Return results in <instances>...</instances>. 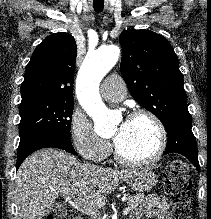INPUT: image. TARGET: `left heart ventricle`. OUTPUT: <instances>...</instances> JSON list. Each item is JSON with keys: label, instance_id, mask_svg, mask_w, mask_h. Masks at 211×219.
<instances>
[{"label": "left heart ventricle", "instance_id": "b2bd125f", "mask_svg": "<svg viewBox=\"0 0 211 219\" xmlns=\"http://www.w3.org/2000/svg\"><path fill=\"white\" fill-rule=\"evenodd\" d=\"M117 124L112 136L114 139L119 136L116 143L119 151L129 159H144L154 153L158 144V131L151 120L145 117Z\"/></svg>", "mask_w": 211, "mask_h": 219}]
</instances>
